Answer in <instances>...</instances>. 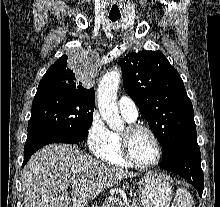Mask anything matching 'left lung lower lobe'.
I'll list each match as a JSON object with an SVG mask.
<instances>
[{"mask_svg":"<svg viewBox=\"0 0 220 207\" xmlns=\"http://www.w3.org/2000/svg\"><path fill=\"white\" fill-rule=\"evenodd\" d=\"M161 167L184 177L202 196L204 175L197 135L169 147L163 154Z\"/></svg>","mask_w":220,"mask_h":207,"instance_id":"obj_1","label":"left lung lower lobe"}]
</instances>
